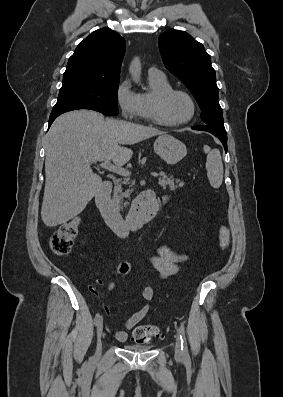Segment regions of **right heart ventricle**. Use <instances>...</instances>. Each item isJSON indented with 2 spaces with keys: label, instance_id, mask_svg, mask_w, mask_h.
I'll list each match as a JSON object with an SVG mask.
<instances>
[{
  "label": "right heart ventricle",
  "instance_id": "right-heart-ventricle-1",
  "mask_svg": "<svg viewBox=\"0 0 283 397\" xmlns=\"http://www.w3.org/2000/svg\"><path fill=\"white\" fill-rule=\"evenodd\" d=\"M149 90L146 93L139 94L142 106V117L148 121L153 119V104L158 95L171 89L172 85L165 76H148Z\"/></svg>",
  "mask_w": 283,
  "mask_h": 397
}]
</instances>
